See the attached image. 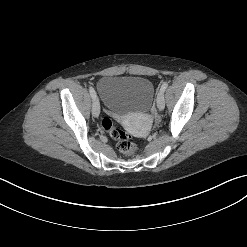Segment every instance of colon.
<instances>
[{
	"mask_svg": "<svg viewBox=\"0 0 247 247\" xmlns=\"http://www.w3.org/2000/svg\"><path fill=\"white\" fill-rule=\"evenodd\" d=\"M102 128L116 141L117 150L125 155H133L139 150V146L125 131L114 126L109 117L102 120Z\"/></svg>",
	"mask_w": 247,
	"mask_h": 247,
	"instance_id": "5ec220e1",
	"label": "colon"
}]
</instances>
